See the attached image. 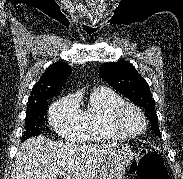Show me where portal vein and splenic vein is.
<instances>
[{"label": "portal vein and splenic vein", "instance_id": "18ae733b", "mask_svg": "<svg viewBox=\"0 0 183 179\" xmlns=\"http://www.w3.org/2000/svg\"><path fill=\"white\" fill-rule=\"evenodd\" d=\"M59 174L64 176L66 174V172L65 171H61V172H59Z\"/></svg>", "mask_w": 183, "mask_h": 179}]
</instances>
